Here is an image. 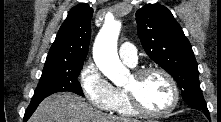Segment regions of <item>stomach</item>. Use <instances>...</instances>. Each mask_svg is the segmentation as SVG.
<instances>
[{
  "label": "stomach",
  "mask_w": 221,
  "mask_h": 122,
  "mask_svg": "<svg viewBox=\"0 0 221 122\" xmlns=\"http://www.w3.org/2000/svg\"><path fill=\"white\" fill-rule=\"evenodd\" d=\"M147 122H158V121H152V120H150V121H147Z\"/></svg>",
  "instance_id": "0dacf381"
}]
</instances>
